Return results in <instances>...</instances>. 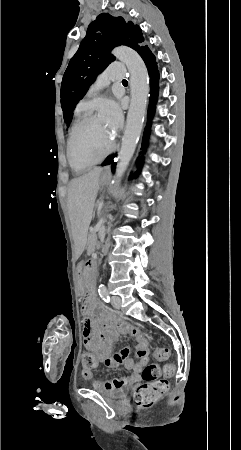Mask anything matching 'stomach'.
<instances>
[{"mask_svg":"<svg viewBox=\"0 0 241 450\" xmlns=\"http://www.w3.org/2000/svg\"><path fill=\"white\" fill-rule=\"evenodd\" d=\"M107 181V176L102 175L100 177V184H105ZM78 274H77V285L79 287V290L84 293L85 291V278L83 273V263H79L78 265Z\"/></svg>","mask_w":241,"mask_h":450,"instance_id":"1","label":"stomach"}]
</instances>
